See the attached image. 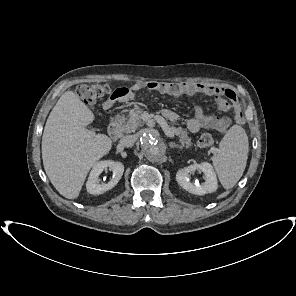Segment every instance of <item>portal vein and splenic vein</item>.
I'll return each instance as SVG.
<instances>
[{"label":"portal vein and splenic vein","instance_id":"obj_1","mask_svg":"<svg viewBox=\"0 0 296 296\" xmlns=\"http://www.w3.org/2000/svg\"><path fill=\"white\" fill-rule=\"evenodd\" d=\"M158 123L161 125L164 133L170 137V138H173L174 137V132L172 131V129L169 127V125L167 124V122L161 118L158 120Z\"/></svg>","mask_w":296,"mask_h":296}]
</instances>
